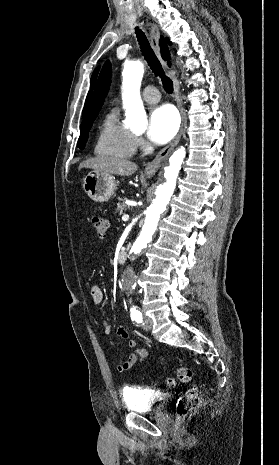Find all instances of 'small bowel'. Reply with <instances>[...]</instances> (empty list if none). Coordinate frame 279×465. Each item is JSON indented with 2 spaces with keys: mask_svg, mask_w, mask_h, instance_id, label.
Masks as SVG:
<instances>
[{
  "mask_svg": "<svg viewBox=\"0 0 279 465\" xmlns=\"http://www.w3.org/2000/svg\"><path fill=\"white\" fill-rule=\"evenodd\" d=\"M90 296L95 305L101 304L104 298L102 289L97 285L92 286ZM102 328L105 334L112 332V326L107 320L102 321ZM117 334L127 340L128 347L133 350L125 359L118 362L117 370L119 372H126L135 365H141L148 357V351L145 348H137L136 341L130 338L128 331L124 327L118 328Z\"/></svg>",
  "mask_w": 279,
  "mask_h": 465,
  "instance_id": "c3829d8e",
  "label": "small bowel"
}]
</instances>
